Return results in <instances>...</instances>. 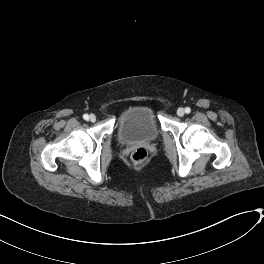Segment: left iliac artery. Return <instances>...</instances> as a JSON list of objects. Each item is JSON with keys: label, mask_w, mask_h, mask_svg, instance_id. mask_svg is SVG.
Wrapping results in <instances>:
<instances>
[{"label": "left iliac artery", "mask_w": 264, "mask_h": 264, "mask_svg": "<svg viewBox=\"0 0 264 264\" xmlns=\"http://www.w3.org/2000/svg\"><path fill=\"white\" fill-rule=\"evenodd\" d=\"M185 112H186L187 114H189V113L191 112V109H190L189 107H186V108H185Z\"/></svg>", "instance_id": "left-iliac-artery-1"}]
</instances>
